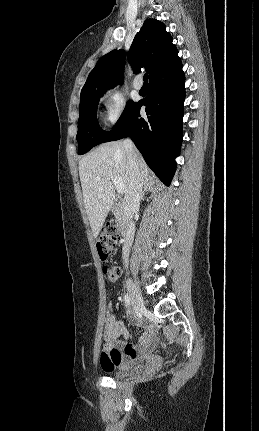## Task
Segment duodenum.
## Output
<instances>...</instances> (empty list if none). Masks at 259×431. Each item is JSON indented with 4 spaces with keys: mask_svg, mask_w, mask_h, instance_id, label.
Returning a JSON list of instances; mask_svg holds the SVG:
<instances>
[{
    "mask_svg": "<svg viewBox=\"0 0 259 431\" xmlns=\"http://www.w3.org/2000/svg\"><path fill=\"white\" fill-rule=\"evenodd\" d=\"M114 212L116 214L118 225L120 227V234H121L120 241L123 242L125 241L129 231L130 216L127 208L122 203H116L114 205Z\"/></svg>",
    "mask_w": 259,
    "mask_h": 431,
    "instance_id": "obj_1",
    "label": "duodenum"
}]
</instances>
